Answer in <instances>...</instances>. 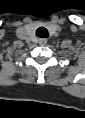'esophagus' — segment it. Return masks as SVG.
Listing matches in <instances>:
<instances>
[{
	"instance_id": "obj_1",
	"label": "esophagus",
	"mask_w": 85,
	"mask_h": 118,
	"mask_svg": "<svg viewBox=\"0 0 85 118\" xmlns=\"http://www.w3.org/2000/svg\"><path fill=\"white\" fill-rule=\"evenodd\" d=\"M38 43L42 46L46 45L47 44V39L46 38H41V39H39Z\"/></svg>"
}]
</instances>
